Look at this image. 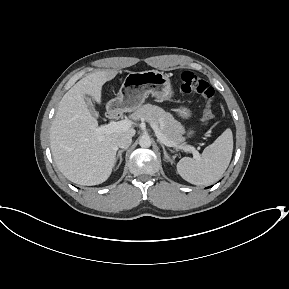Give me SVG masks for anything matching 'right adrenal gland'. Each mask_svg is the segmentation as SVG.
<instances>
[{"mask_svg": "<svg viewBox=\"0 0 289 289\" xmlns=\"http://www.w3.org/2000/svg\"><path fill=\"white\" fill-rule=\"evenodd\" d=\"M124 151H126V149L119 150L118 153H117V155H116V162L119 160V163H118L117 167L115 168V170L118 169V167L120 166V164H121V162H122V160H123V159H122V153H123Z\"/></svg>", "mask_w": 289, "mask_h": 289, "instance_id": "1", "label": "right adrenal gland"}]
</instances>
